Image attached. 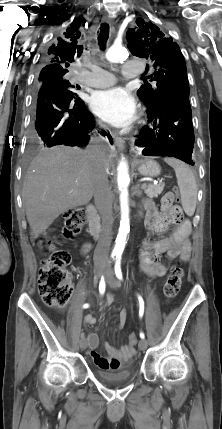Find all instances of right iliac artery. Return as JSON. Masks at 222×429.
<instances>
[{
  "label": "right iliac artery",
  "instance_id": "1",
  "mask_svg": "<svg viewBox=\"0 0 222 429\" xmlns=\"http://www.w3.org/2000/svg\"><path fill=\"white\" fill-rule=\"evenodd\" d=\"M105 287H106L105 280H104V277L102 276V278L100 280V283H99V292H100V294H104ZM88 307H89V304H87V303L83 305V308H88ZM81 336H83V334Z\"/></svg>",
  "mask_w": 222,
  "mask_h": 429
}]
</instances>
